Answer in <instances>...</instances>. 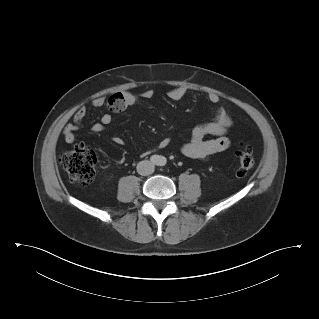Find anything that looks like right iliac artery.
Segmentation results:
<instances>
[{
    "label": "right iliac artery",
    "instance_id": "right-iliac-artery-1",
    "mask_svg": "<svg viewBox=\"0 0 319 319\" xmlns=\"http://www.w3.org/2000/svg\"><path fill=\"white\" fill-rule=\"evenodd\" d=\"M158 161H159V157H158V156L153 155V156L151 157V162H152V163L156 164V163H158Z\"/></svg>",
    "mask_w": 319,
    "mask_h": 319
}]
</instances>
